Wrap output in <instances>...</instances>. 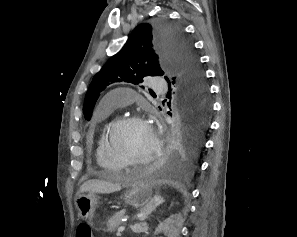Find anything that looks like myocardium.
Masks as SVG:
<instances>
[{"label":"myocardium","instance_id":"f54148a6","mask_svg":"<svg viewBox=\"0 0 297 237\" xmlns=\"http://www.w3.org/2000/svg\"><path fill=\"white\" fill-rule=\"evenodd\" d=\"M131 123H144L150 126L149 122L143 118L140 115H128L121 117L115 121L113 126L111 127L109 133H108V146L112 153V155L119 160V162L124 166H146L150 165L153 162H155L162 154V146H161V140L158 135V133L151 127L154 139H155V145L154 149L151 152V154L142 160H133L129 158L127 155H125L121 149L119 148L116 137L120 129L128 124Z\"/></svg>","mask_w":297,"mask_h":237}]
</instances>
